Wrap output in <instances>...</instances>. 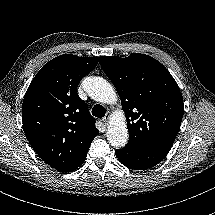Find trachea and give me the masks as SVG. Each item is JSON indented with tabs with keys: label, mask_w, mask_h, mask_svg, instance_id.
<instances>
[{
	"label": "trachea",
	"mask_w": 215,
	"mask_h": 215,
	"mask_svg": "<svg viewBox=\"0 0 215 215\" xmlns=\"http://www.w3.org/2000/svg\"><path fill=\"white\" fill-rule=\"evenodd\" d=\"M106 109L102 105H95L92 109V114L95 117L102 118L105 116Z\"/></svg>",
	"instance_id": "1"
}]
</instances>
